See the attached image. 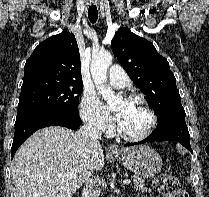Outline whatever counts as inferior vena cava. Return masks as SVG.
I'll return each mask as SVG.
<instances>
[{
  "label": "inferior vena cava",
  "instance_id": "602c4592",
  "mask_svg": "<svg viewBox=\"0 0 209 197\" xmlns=\"http://www.w3.org/2000/svg\"><path fill=\"white\" fill-rule=\"evenodd\" d=\"M78 135L85 139L91 140L94 143H99V140H101V132L99 127H95L91 123L81 126ZM88 176H90V172ZM99 195L100 193L98 190H93L91 188L89 189L88 186H86V188L83 190V197H99Z\"/></svg>",
  "mask_w": 209,
  "mask_h": 197
}]
</instances>
